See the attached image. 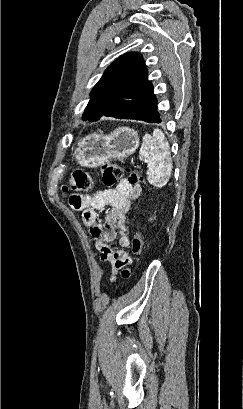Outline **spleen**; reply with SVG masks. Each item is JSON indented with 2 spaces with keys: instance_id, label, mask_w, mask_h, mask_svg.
<instances>
[{
  "instance_id": "3e777b00",
  "label": "spleen",
  "mask_w": 243,
  "mask_h": 409,
  "mask_svg": "<svg viewBox=\"0 0 243 409\" xmlns=\"http://www.w3.org/2000/svg\"><path fill=\"white\" fill-rule=\"evenodd\" d=\"M142 140L139 153L147 163V180L154 187L161 188L169 181L172 171L169 143L160 129H155L152 136L145 134Z\"/></svg>"
}]
</instances>
